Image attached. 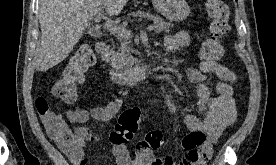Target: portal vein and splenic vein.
Returning a JSON list of instances; mask_svg holds the SVG:
<instances>
[{"label":"portal vein and splenic vein","instance_id":"obj_1","mask_svg":"<svg viewBox=\"0 0 276 165\" xmlns=\"http://www.w3.org/2000/svg\"><path fill=\"white\" fill-rule=\"evenodd\" d=\"M102 12L103 10L102 9H99L95 14H96V17H95V22H100L101 18H102ZM105 28H107V30L113 34H116L117 36H120V37H131L132 36V33L131 31L127 30L126 27H123V26H117L115 24H112V23H106L104 25ZM154 30V27L152 25H148L146 27V31H153Z\"/></svg>","mask_w":276,"mask_h":165}]
</instances>
